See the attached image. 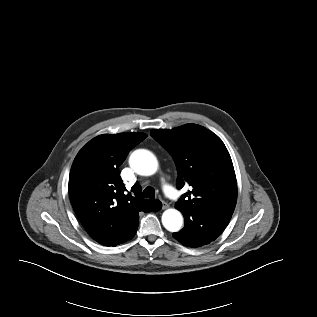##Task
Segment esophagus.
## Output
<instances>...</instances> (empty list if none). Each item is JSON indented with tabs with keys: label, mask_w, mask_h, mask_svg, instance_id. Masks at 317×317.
Here are the masks:
<instances>
[{
	"label": "esophagus",
	"mask_w": 317,
	"mask_h": 317,
	"mask_svg": "<svg viewBox=\"0 0 317 317\" xmlns=\"http://www.w3.org/2000/svg\"><path fill=\"white\" fill-rule=\"evenodd\" d=\"M169 207V204L165 201H162V208L167 209Z\"/></svg>",
	"instance_id": "1"
}]
</instances>
